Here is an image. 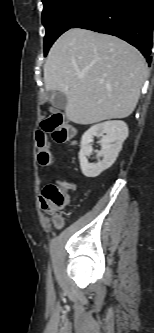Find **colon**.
<instances>
[{
	"instance_id": "1",
	"label": "colon",
	"mask_w": 154,
	"mask_h": 333,
	"mask_svg": "<svg viewBox=\"0 0 154 333\" xmlns=\"http://www.w3.org/2000/svg\"><path fill=\"white\" fill-rule=\"evenodd\" d=\"M47 134L51 135L53 140L59 144H73L75 130L59 113H54L41 122V128L36 133L37 161L41 166H48L51 162ZM72 188V184L60 181L48 184L42 191L41 207L43 211L55 215L56 224L61 222L57 214L65 207L68 192Z\"/></svg>"
}]
</instances>
